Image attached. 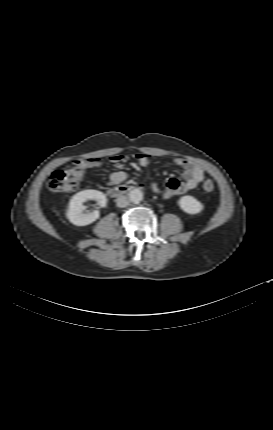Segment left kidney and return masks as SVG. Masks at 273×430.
Returning a JSON list of instances; mask_svg holds the SVG:
<instances>
[{"mask_svg":"<svg viewBox=\"0 0 273 430\" xmlns=\"http://www.w3.org/2000/svg\"><path fill=\"white\" fill-rule=\"evenodd\" d=\"M178 204L180 208L188 214H198L203 210L202 203L190 195L181 197Z\"/></svg>","mask_w":273,"mask_h":430,"instance_id":"5707ae66","label":"left kidney"}]
</instances>
